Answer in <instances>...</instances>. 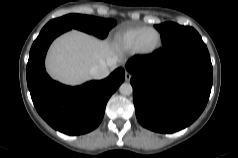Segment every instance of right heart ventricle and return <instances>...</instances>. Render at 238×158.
I'll return each instance as SVG.
<instances>
[{"instance_id": "right-heart-ventricle-1", "label": "right heart ventricle", "mask_w": 238, "mask_h": 158, "mask_svg": "<svg viewBox=\"0 0 238 158\" xmlns=\"http://www.w3.org/2000/svg\"><path fill=\"white\" fill-rule=\"evenodd\" d=\"M145 26H134L128 27L120 32H118L115 36V43L123 50H132L134 46L135 39L137 35L144 29Z\"/></svg>"}]
</instances>
